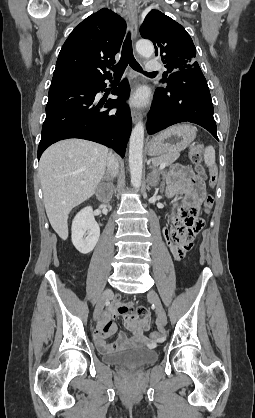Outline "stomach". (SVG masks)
<instances>
[{
    "mask_svg": "<svg viewBox=\"0 0 255 418\" xmlns=\"http://www.w3.org/2000/svg\"><path fill=\"white\" fill-rule=\"evenodd\" d=\"M195 137V127L178 124L153 137L147 143V151L150 156L180 153L194 141Z\"/></svg>",
    "mask_w": 255,
    "mask_h": 418,
    "instance_id": "1",
    "label": "stomach"
}]
</instances>
